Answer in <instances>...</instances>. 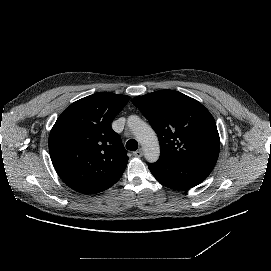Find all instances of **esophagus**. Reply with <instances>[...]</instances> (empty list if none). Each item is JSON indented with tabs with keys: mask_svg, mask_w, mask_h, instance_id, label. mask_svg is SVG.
Returning <instances> with one entry per match:
<instances>
[{
	"mask_svg": "<svg viewBox=\"0 0 271 271\" xmlns=\"http://www.w3.org/2000/svg\"><path fill=\"white\" fill-rule=\"evenodd\" d=\"M133 155L136 157V158H141L143 156V150L140 148L136 151L133 152Z\"/></svg>",
	"mask_w": 271,
	"mask_h": 271,
	"instance_id": "obj_1",
	"label": "esophagus"
}]
</instances>
